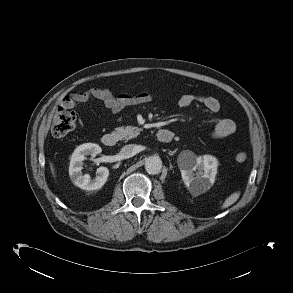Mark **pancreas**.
Here are the masks:
<instances>
[{"instance_id":"pancreas-1","label":"pancreas","mask_w":293,"mask_h":293,"mask_svg":"<svg viewBox=\"0 0 293 293\" xmlns=\"http://www.w3.org/2000/svg\"><path fill=\"white\" fill-rule=\"evenodd\" d=\"M116 134L121 140H130L137 137L140 134V129L138 127L127 126L116 128Z\"/></svg>"}]
</instances>
